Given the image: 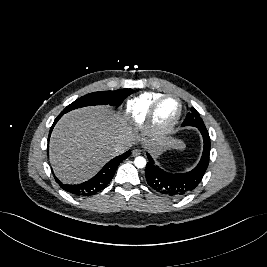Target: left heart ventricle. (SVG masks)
Here are the masks:
<instances>
[{"mask_svg": "<svg viewBox=\"0 0 267 267\" xmlns=\"http://www.w3.org/2000/svg\"><path fill=\"white\" fill-rule=\"evenodd\" d=\"M179 104L175 98L165 99L159 106L155 123L158 127L164 128L170 125L177 116Z\"/></svg>", "mask_w": 267, "mask_h": 267, "instance_id": "left-heart-ventricle-1", "label": "left heart ventricle"}]
</instances>
